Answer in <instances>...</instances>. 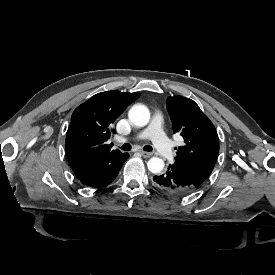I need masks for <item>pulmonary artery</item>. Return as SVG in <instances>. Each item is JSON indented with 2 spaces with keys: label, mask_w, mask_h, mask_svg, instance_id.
Returning a JSON list of instances; mask_svg holds the SVG:
<instances>
[{
  "label": "pulmonary artery",
  "mask_w": 275,
  "mask_h": 275,
  "mask_svg": "<svg viewBox=\"0 0 275 275\" xmlns=\"http://www.w3.org/2000/svg\"><path fill=\"white\" fill-rule=\"evenodd\" d=\"M154 114V121H153V128H152V135L150 137L151 142L153 143V146L155 148L156 153L165 158V159H170L173 157L174 152L172 149H170V144L168 142V138L165 134V132L163 131V128L161 126L162 124V118H163V111L160 109L154 110L153 111ZM150 132H151V127L142 133H138L135 138H148L150 136ZM134 138V139H135ZM116 144L118 145H122L124 143L129 142L128 138H124V137H118L115 140Z\"/></svg>",
  "instance_id": "obj_1"
}]
</instances>
